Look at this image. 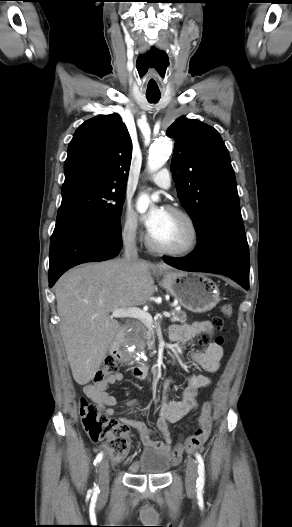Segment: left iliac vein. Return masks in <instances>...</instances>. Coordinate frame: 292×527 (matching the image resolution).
<instances>
[{
	"mask_svg": "<svg viewBox=\"0 0 292 527\" xmlns=\"http://www.w3.org/2000/svg\"><path fill=\"white\" fill-rule=\"evenodd\" d=\"M198 478L197 463L194 459L188 458L186 461V478L185 484L188 492L193 493L196 488Z\"/></svg>",
	"mask_w": 292,
	"mask_h": 527,
	"instance_id": "4c4485c4",
	"label": "left iliac vein"
}]
</instances>
